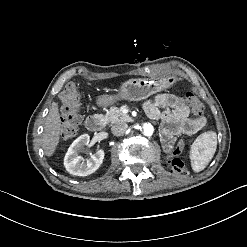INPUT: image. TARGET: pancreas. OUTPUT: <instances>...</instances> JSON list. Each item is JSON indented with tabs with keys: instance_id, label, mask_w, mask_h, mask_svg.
Here are the masks:
<instances>
[{
	"instance_id": "cf45deb5",
	"label": "pancreas",
	"mask_w": 247,
	"mask_h": 247,
	"mask_svg": "<svg viewBox=\"0 0 247 247\" xmlns=\"http://www.w3.org/2000/svg\"><path fill=\"white\" fill-rule=\"evenodd\" d=\"M105 117L111 123L126 121L129 119V116L124 114L119 107H110L107 110Z\"/></svg>"
}]
</instances>
